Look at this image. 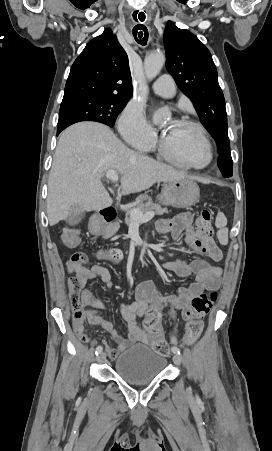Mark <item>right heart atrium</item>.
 Wrapping results in <instances>:
<instances>
[{
	"label": "right heart atrium",
	"mask_w": 272,
	"mask_h": 451,
	"mask_svg": "<svg viewBox=\"0 0 272 451\" xmlns=\"http://www.w3.org/2000/svg\"><path fill=\"white\" fill-rule=\"evenodd\" d=\"M119 127L124 139L137 149H147L156 139V132L147 121L143 108L135 104L125 108Z\"/></svg>",
	"instance_id": "right-heart-atrium-1"
}]
</instances>
